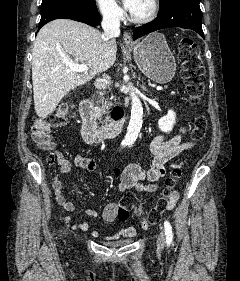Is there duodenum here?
<instances>
[{
  "label": "duodenum",
  "instance_id": "obj_1",
  "mask_svg": "<svg viewBox=\"0 0 240 281\" xmlns=\"http://www.w3.org/2000/svg\"><path fill=\"white\" fill-rule=\"evenodd\" d=\"M80 113L82 116L81 134L88 144H97L105 139L114 137L118 135L125 126L123 110H119L115 113L110 122L98 126L93 116L91 102L88 99L81 101Z\"/></svg>",
  "mask_w": 240,
  "mask_h": 281
}]
</instances>
